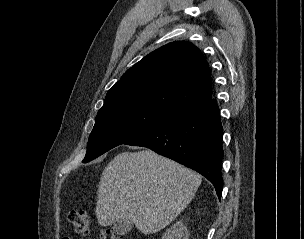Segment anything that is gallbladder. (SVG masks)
I'll return each instance as SVG.
<instances>
[{
	"mask_svg": "<svg viewBox=\"0 0 304 239\" xmlns=\"http://www.w3.org/2000/svg\"><path fill=\"white\" fill-rule=\"evenodd\" d=\"M112 228L117 235H126L132 230L133 223L127 219L119 220L113 223Z\"/></svg>",
	"mask_w": 304,
	"mask_h": 239,
	"instance_id": "bac80fb5",
	"label": "gallbladder"
}]
</instances>
